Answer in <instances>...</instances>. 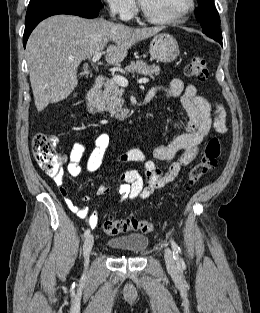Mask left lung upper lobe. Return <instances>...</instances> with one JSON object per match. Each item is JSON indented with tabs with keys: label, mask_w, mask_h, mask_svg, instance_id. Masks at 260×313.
<instances>
[{
	"label": "left lung upper lobe",
	"mask_w": 260,
	"mask_h": 313,
	"mask_svg": "<svg viewBox=\"0 0 260 313\" xmlns=\"http://www.w3.org/2000/svg\"><path fill=\"white\" fill-rule=\"evenodd\" d=\"M199 7L195 9V16L199 20L202 32L215 39H222L220 18L215 8L214 0H197Z\"/></svg>",
	"instance_id": "left-lung-upper-lobe-1"
}]
</instances>
